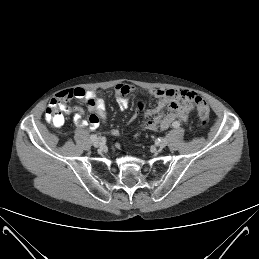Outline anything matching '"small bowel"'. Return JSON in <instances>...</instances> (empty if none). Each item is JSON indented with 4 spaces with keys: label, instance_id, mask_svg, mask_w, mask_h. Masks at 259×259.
Here are the masks:
<instances>
[{
    "label": "small bowel",
    "instance_id": "1",
    "mask_svg": "<svg viewBox=\"0 0 259 259\" xmlns=\"http://www.w3.org/2000/svg\"><path fill=\"white\" fill-rule=\"evenodd\" d=\"M135 90L134 86L120 83L115 87V97L118 107L125 110L129 107L128 95ZM150 95L158 99L157 104L143 113L142 125L148 130H166L172 123L188 120L193 110V102L197 95L188 89H155ZM71 98L84 99L90 111L88 120L82 118V111L77 106H68L66 102ZM51 102H59L60 109L67 113H73L74 123L78 127L90 126L97 128L100 123L107 122L106 103L97 96L94 91H86L75 88L60 92ZM112 135L117 136L119 131L112 129Z\"/></svg>",
    "mask_w": 259,
    "mask_h": 259
}]
</instances>
